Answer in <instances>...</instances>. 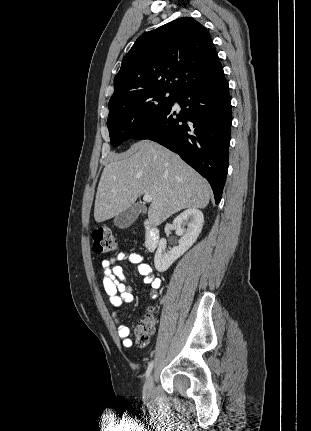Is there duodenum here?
I'll return each mask as SVG.
<instances>
[{
    "label": "duodenum",
    "instance_id": "1",
    "mask_svg": "<svg viewBox=\"0 0 311 431\" xmlns=\"http://www.w3.org/2000/svg\"><path fill=\"white\" fill-rule=\"evenodd\" d=\"M160 233L157 227L150 223H145V247L148 251L153 252L159 244Z\"/></svg>",
    "mask_w": 311,
    "mask_h": 431
}]
</instances>
